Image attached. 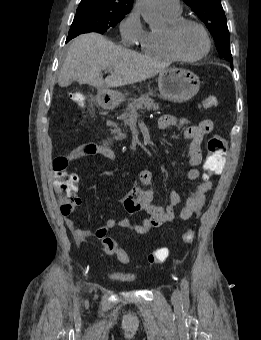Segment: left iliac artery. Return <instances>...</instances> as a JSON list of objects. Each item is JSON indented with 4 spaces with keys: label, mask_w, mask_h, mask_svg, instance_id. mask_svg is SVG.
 Returning a JSON list of instances; mask_svg holds the SVG:
<instances>
[{
    "label": "left iliac artery",
    "mask_w": 261,
    "mask_h": 340,
    "mask_svg": "<svg viewBox=\"0 0 261 340\" xmlns=\"http://www.w3.org/2000/svg\"><path fill=\"white\" fill-rule=\"evenodd\" d=\"M182 288V301L184 305H189V284L188 281L184 278L181 282Z\"/></svg>",
    "instance_id": "obj_1"
}]
</instances>
